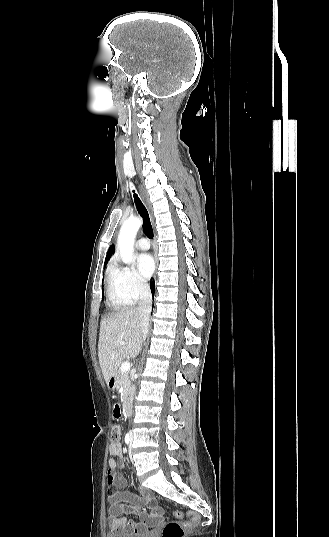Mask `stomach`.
Segmentation results:
<instances>
[{"instance_id":"0dacf381","label":"stomach","mask_w":329,"mask_h":537,"mask_svg":"<svg viewBox=\"0 0 329 537\" xmlns=\"http://www.w3.org/2000/svg\"><path fill=\"white\" fill-rule=\"evenodd\" d=\"M107 385L110 389L114 390L116 388V377L110 378Z\"/></svg>"}]
</instances>
